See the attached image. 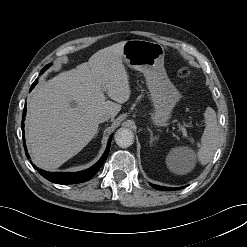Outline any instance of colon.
Masks as SVG:
<instances>
[{"label": "colon", "mask_w": 247, "mask_h": 247, "mask_svg": "<svg viewBox=\"0 0 247 247\" xmlns=\"http://www.w3.org/2000/svg\"><path fill=\"white\" fill-rule=\"evenodd\" d=\"M189 74H190V73H189V70L186 69V68H182V69L179 71V76L182 77V78H184V79H186V80H188Z\"/></svg>", "instance_id": "1"}]
</instances>
